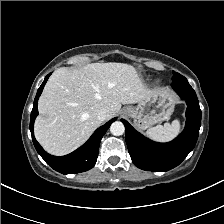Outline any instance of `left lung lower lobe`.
<instances>
[{
  "instance_id": "obj_1",
  "label": "left lung lower lobe",
  "mask_w": 224,
  "mask_h": 224,
  "mask_svg": "<svg viewBox=\"0 0 224 224\" xmlns=\"http://www.w3.org/2000/svg\"><path fill=\"white\" fill-rule=\"evenodd\" d=\"M172 88L186 100V126L183 132L169 143H156L142 136L127 121L126 143L133 163L146 171H168L178 166L193 150L201 125V110L195 91L183 77L173 81Z\"/></svg>"
}]
</instances>
